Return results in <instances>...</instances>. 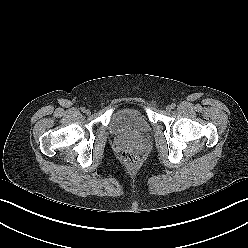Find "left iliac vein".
<instances>
[{
  "mask_svg": "<svg viewBox=\"0 0 248 248\" xmlns=\"http://www.w3.org/2000/svg\"><path fill=\"white\" fill-rule=\"evenodd\" d=\"M166 110H167V111H171V110H172L171 105H167V106H166Z\"/></svg>",
  "mask_w": 248,
  "mask_h": 248,
  "instance_id": "obj_1",
  "label": "left iliac vein"
}]
</instances>
